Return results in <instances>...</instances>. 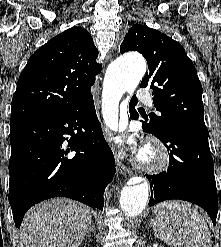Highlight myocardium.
<instances>
[{
    "label": "myocardium",
    "mask_w": 221,
    "mask_h": 247,
    "mask_svg": "<svg viewBox=\"0 0 221 247\" xmlns=\"http://www.w3.org/2000/svg\"><path fill=\"white\" fill-rule=\"evenodd\" d=\"M170 163L168 147L157 139L147 141L135 159L137 167L148 173L163 172Z\"/></svg>",
    "instance_id": "myocardium-1"
}]
</instances>
